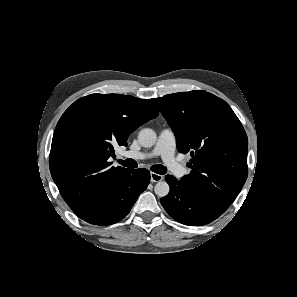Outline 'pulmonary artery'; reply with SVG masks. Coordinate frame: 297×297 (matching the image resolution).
Wrapping results in <instances>:
<instances>
[{
  "label": "pulmonary artery",
  "instance_id": "obj_1",
  "mask_svg": "<svg viewBox=\"0 0 297 297\" xmlns=\"http://www.w3.org/2000/svg\"><path fill=\"white\" fill-rule=\"evenodd\" d=\"M176 137L171 129H163L155 147L150 152L129 151L125 155L132 159H147L160 156L169 170L178 178L187 174V169L175 158Z\"/></svg>",
  "mask_w": 297,
  "mask_h": 297
}]
</instances>
